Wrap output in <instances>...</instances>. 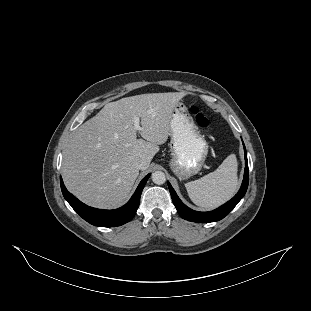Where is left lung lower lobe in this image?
I'll return each mask as SVG.
<instances>
[{
  "mask_svg": "<svg viewBox=\"0 0 311 311\" xmlns=\"http://www.w3.org/2000/svg\"><path fill=\"white\" fill-rule=\"evenodd\" d=\"M244 147V154H245V171H244V179L241 185V188L239 192L227 203L222 205L221 207L209 211V212H198L194 211L190 208H188L186 205L182 203V201L179 199L177 196L176 192L168 182V187L169 191L172 197V201L179 213V215L188 220V221H193V222H198V223H208V222H214L221 220L224 218L238 203L239 201L244 197L247 188H248V183H249V170H248V161H247V153H246V148L243 143Z\"/></svg>",
  "mask_w": 311,
  "mask_h": 311,
  "instance_id": "0a47b994",
  "label": "left lung lower lobe"
}]
</instances>
